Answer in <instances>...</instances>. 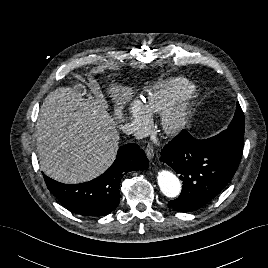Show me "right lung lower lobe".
<instances>
[{
  "label": "right lung lower lobe",
  "mask_w": 268,
  "mask_h": 268,
  "mask_svg": "<svg viewBox=\"0 0 268 268\" xmlns=\"http://www.w3.org/2000/svg\"><path fill=\"white\" fill-rule=\"evenodd\" d=\"M148 159L137 144L119 148L111 167L89 182L68 185L43 174L50 192L70 211L86 216H104L119 204V184L122 177L133 170H145Z\"/></svg>",
  "instance_id": "1"
}]
</instances>
